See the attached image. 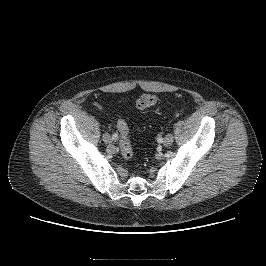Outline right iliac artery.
<instances>
[{
    "instance_id": "82829eb1",
    "label": "right iliac artery",
    "mask_w": 266,
    "mask_h": 266,
    "mask_svg": "<svg viewBox=\"0 0 266 266\" xmlns=\"http://www.w3.org/2000/svg\"><path fill=\"white\" fill-rule=\"evenodd\" d=\"M117 138H118L117 134H114V135L112 136V139H113V140H116Z\"/></svg>"
}]
</instances>
